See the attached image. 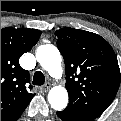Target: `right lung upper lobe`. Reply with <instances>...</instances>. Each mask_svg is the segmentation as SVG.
<instances>
[{"mask_svg":"<svg viewBox=\"0 0 121 121\" xmlns=\"http://www.w3.org/2000/svg\"><path fill=\"white\" fill-rule=\"evenodd\" d=\"M40 35L36 29H1V121H15L34 96L26 90L29 72L21 68L19 58Z\"/></svg>","mask_w":121,"mask_h":121,"instance_id":"cb5924a9","label":"right lung upper lobe"}]
</instances>
